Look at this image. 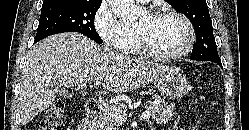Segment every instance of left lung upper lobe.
<instances>
[{
  "label": "left lung upper lobe",
  "instance_id": "5c2ea615",
  "mask_svg": "<svg viewBox=\"0 0 249 130\" xmlns=\"http://www.w3.org/2000/svg\"><path fill=\"white\" fill-rule=\"evenodd\" d=\"M166 2L187 16L194 26L196 44L193 47L191 59L220 60L206 0H167Z\"/></svg>",
  "mask_w": 249,
  "mask_h": 130
}]
</instances>
